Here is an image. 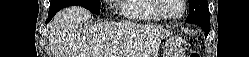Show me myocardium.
<instances>
[{"label":"myocardium","instance_id":"1","mask_svg":"<svg viewBox=\"0 0 249 57\" xmlns=\"http://www.w3.org/2000/svg\"><path fill=\"white\" fill-rule=\"evenodd\" d=\"M179 1H180V4H181V11L177 15H174V16H170L165 12V9L167 7V1L166 0H156V5L155 6H156V9L159 12V14L164 19L177 20V19H180L184 15V13L186 11V1L185 0H179Z\"/></svg>","mask_w":249,"mask_h":57}]
</instances>
